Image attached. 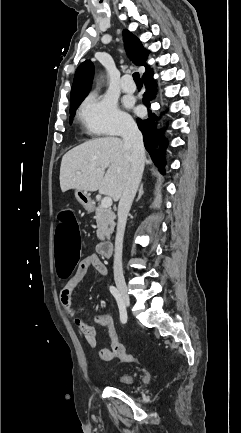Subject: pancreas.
Wrapping results in <instances>:
<instances>
[{
    "label": "pancreas",
    "mask_w": 241,
    "mask_h": 433,
    "mask_svg": "<svg viewBox=\"0 0 241 433\" xmlns=\"http://www.w3.org/2000/svg\"><path fill=\"white\" fill-rule=\"evenodd\" d=\"M94 219L97 223V237L99 240H105L112 234L115 226V213L101 205L95 208Z\"/></svg>",
    "instance_id": "1"
}]
</instances>
